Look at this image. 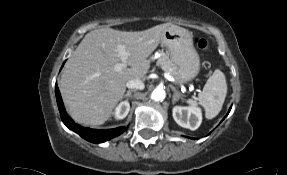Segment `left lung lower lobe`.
I'll return each instance as SVG.
<instances>
[{
	"instance_id": "1",
	"label": "left lung lower lobe",
	"mask_w": 287,
	"mask_h": 175,
	"mask_svg": "<svg viewBox=\"0 0 287 175\" xmlns=\"http://www.w3.org/2000/svg\"><path fill=\"white\" fill-rule=\"evenodd\" d=\"M230 110H231V108L229 109V111H228L227 115L229 114Z\"/></svg>"
}]
</instances>
